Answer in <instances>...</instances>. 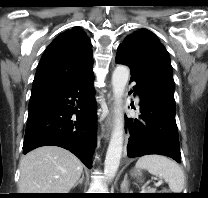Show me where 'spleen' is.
<instances>
[{
	"instance_id": "obj_1",
	"label": "spleen",
	"mask_w": 208,
	"mask_h": 198,
	"mask_svg": "<svg viewBox=\"0 0 208 198\" xmlns=\"http://www.w3.org/2000/svg\"><path fill=\"white\" fill-rule=\"evenodd\" d=\"M136 168L146 169L149 173L165 179L173 193H181L184 188L183 170L176 162L165 156L146 155L140 157Z\"/></svg>"
}]
</instances>
